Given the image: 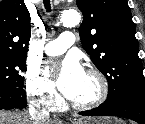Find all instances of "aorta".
I'll list each match as a JSON object with an SVG mask.
<instances>
[{
	"instance_id": "762f6f07",
	"label": "aorta",
	"mask_w": 145,
	"mask_h": 124,
	"mask_svg": "<svg viewBox=\"0 0 145 124\" xmlns=\"http://www.w3.org/2000/svg\"><path fill=\"white\" fill-rule=\"evenodd\" d=\"M81 20L80 14L75 10H68L62 14V21L65 26L74 27Z\"/></svg>"
}]
</instances>
